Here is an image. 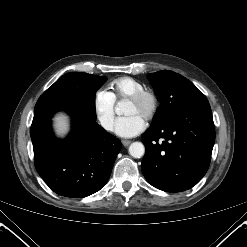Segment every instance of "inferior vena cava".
Listing matches in <instances>:
<instances>
[{"label":"inferior vena cava","instance_id":"obj_1","mask_svg":"<svg viewBox=\"0 0 247 247\" xmlns=\"http://www.w3.org/2000/svg\"><path fill=\"white\" fill-rule=\"evenodd\" d=\"M102 126L106 129V130H113V120L111 119H104L101 121Z\"/></svg>","mask_w":247,"mask_h":247}]
</instances>
